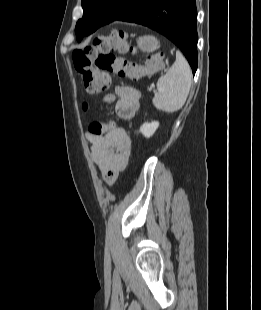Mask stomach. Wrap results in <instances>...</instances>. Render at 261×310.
I'll return each instance as SVG.
<instances>
[{
    "label": "stomach",
    "mask_w": 261,
    "mask_h": 310,
    "mask_svg": "<svg viewBox=\"0 0 261 310\" xmlns=\"http://www.w3.org/2000/svg\"><path fill=\"white\" fill-rule=\"evenodd\" d=\"M137 46L143 52H152L158 48V41L153 36H143L137 40Z\"/></svg>",
    "instance_id": "obj_1"
}]
</instances>
